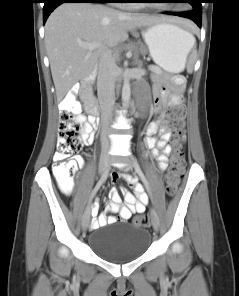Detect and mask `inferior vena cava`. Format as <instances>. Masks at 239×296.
Returning a JSON list of instances; mask_svg holds the SVG:
<instances>
[{"mask_svg": "<svg viewBox=\"0 0 239 296\" xmlns=\"http://www.w3.org/2000/svg\"><path fill=\"white\" fill-rule=\"evenodd\" d=\"M118 76V67L112 54H104L100 58L97 93L101 108L102 133L101 141L103 145H108V130L113 119V107L115 103V83Z\"/></svg>", "mask_w": 239, "mask_h": 296, "instance_id": "inferior-vena-cava-1", "label": "inferior vena cava"}]
</instances>
